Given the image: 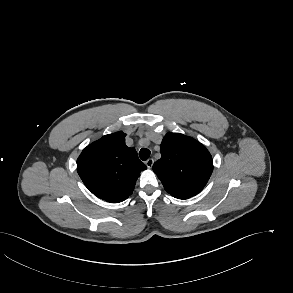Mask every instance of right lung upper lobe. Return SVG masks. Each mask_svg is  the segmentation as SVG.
<instances>
[{"label": "right lung upper lobe", "mask_w": 293, "mask_h": 293, "mask_svg": "<svg viewBox=\"0 0 293 293\" xmlns=\"http://www.w3.org/2000/svg\"><path fill=\"white\" fill-rule=\"evenodd\" d=\"M123 132L106 135L88 145L77 160V172L98 198L118 203L128 198L140 172L147 167L134 148L125 145Z\"/></svg>", "instance_id": "cb5924a9"}]
</instances>
